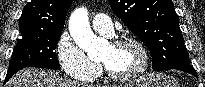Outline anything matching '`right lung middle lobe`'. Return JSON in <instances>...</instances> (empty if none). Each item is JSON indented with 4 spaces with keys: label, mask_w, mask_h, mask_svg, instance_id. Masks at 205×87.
Here are the masks:
<instances>
[{
    "label": "right lung middle lobe",
    "mask_w": 205,
    "mask_h": 87,
    "mask_svg": "<svg viewBox=\"0 0 205 87\" xmlns=\"http://www.w3.org/2000/svg\"><path fill=\"white\" fill-rule=\"evenodd\" d=\"M61 31L22 32L9 63V70L24 67L60 69L54 51Z\"/></svg>",
    "instance_id": "obj_1"
}]
</instances>
